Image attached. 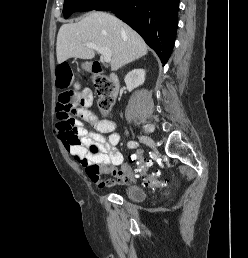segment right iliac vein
<instances>
[{"mask_svg": "<svg viewBox=\"0 0 248 258\" xmlns=\"http://www.w3.org/2000/svg\"><path fill=\"white\" fill-rule=\"evenodd\" d=\"M139 141L150 146L151 148H153L154 150H156V147H155V142L154 140L149 137V136H145V135H141L138 137Z\"/></svg>", "mask_w": 248, "mask_h": 258, "instance_id": "63e3f726", "label": "right iliac vein"}]
</instances>
